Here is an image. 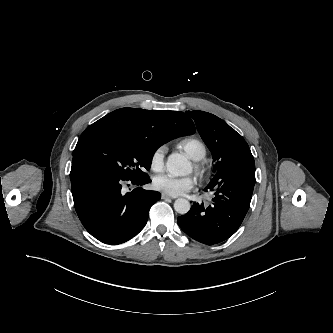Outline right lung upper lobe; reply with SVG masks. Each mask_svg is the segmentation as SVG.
<instances>
[{
	"label": "right lung upper lobe",
	"mask_w": 333,
	"mask_h": 333,
	"mask_svg": "<svg viewBox=\"0 0 333 333\" xmlns=\"http://www.w3.org/2000/svg\"><path fill=\"white\" fill-rule=\"evenodd\" d=\"M194 132V123L183 112L122 108L90 125L81 136L123 134L143 139L159 148L173 138Z\"/></svg>",
	"instance_id": "right-lung-upper-lobe-1"
}]
</instances>
